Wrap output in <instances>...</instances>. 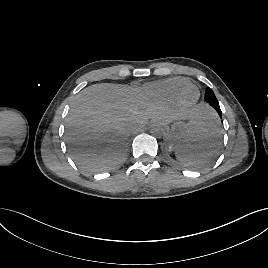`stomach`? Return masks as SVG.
I'll return each instance as SVG.
<instances>
[{
  "instance_id": "1",
  "label": "stomach",
  "mask_w": 268,
  "mask_h": 268,
  "mask_svg": "<svg viewBox=\"0 0 268 268\" xmlns=\"http://www.w3.org/2000/svg\"><path fill=\"white\" fill-rule=\"evenodd\" d=\"M164 127L168 138L171 140V146L174 147V149L189 144V138L192 135L191 131L193 127L191 123L184 121L182 118H177L171 122L170 126L164 124Z\"/></svg>"
}]
</instances>
